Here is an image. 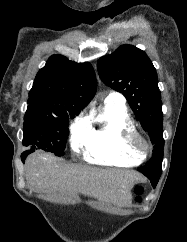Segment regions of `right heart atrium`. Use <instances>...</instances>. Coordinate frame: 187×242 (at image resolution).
Here are the masks:
<instances>
[{
	"mask_svg": "<svg viewBox=\"0 0 187 242\" xmlns=\"http://www.w3.org/2000/svg\"><path fill=\"white\" fill-rule=\"evenodd\" d=\"M89 124L85 117L79 116L70 127V143L74 151H78L87 141Z\"/></svg>",
	"mask_w": 187,
	"mask_h": 242,
	"instance_id": "obj_1",
	"label": "right heart atrium"
}]
</instances>
